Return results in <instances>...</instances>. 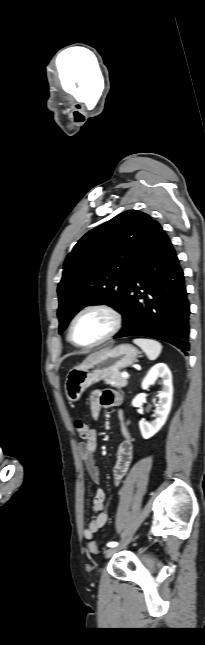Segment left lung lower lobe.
<instances>
[{"mask_svg": "<svg viewBox=\"0 0 205 645\" xmlns=\"http://www.w3.org/2000/svg\"><path fill=\"white\" fill-rule=\"evenodd\" d=\"M120 313L123 328L115 338L147 336L188 355L190 306L184 274L170 239L155 220L142 236L132 261Z\"/></svg>", "mask_w": 205, "mask_h": 645, "instance_id": "1", "label": "left lung lower lobe"}]
</instances>
